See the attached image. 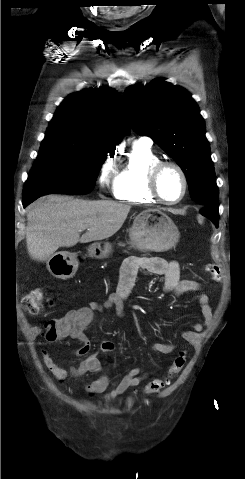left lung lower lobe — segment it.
<instances>
[{"label": "left lung lower lobe", "mask_w": 245, "mask_h": 479, "mask_svg": "<svg viewBox=\"0 0 245 479\" xmlns=\"http://www.w3.org/2000/svg\"><path fill=\"white\" fill-rule=\"evenodd\" d=\"M202 215L208 217L218 227L219 205L217 203L204 206L200 211Z\"/></svg>", "instance_id": "left-lung-lower-lobe-1"}]
</instances>
